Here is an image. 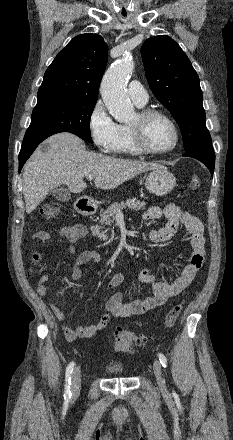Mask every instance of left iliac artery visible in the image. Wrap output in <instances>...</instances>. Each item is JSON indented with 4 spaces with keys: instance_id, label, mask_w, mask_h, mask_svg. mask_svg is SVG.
<instances>
[{
    "instance_id": "1",
    "label": "left iliac artery",
    "mask_w": 233,
    "mask_h": 440,
    "mask_svg": "<svg viewBox=\"0 0 233 440\" xmlns=\"http://www.w3.org/2000/svg\"><path fill=\"white\" fill-rule=\"evenodd\" d=\"M158 357H159V360H160V363L162 364V366L166 367L167 366V358L165 357V355L162 353H159Z\"/></svg>"
}]
</instances>
